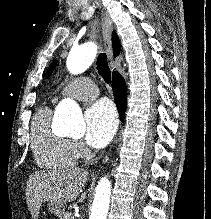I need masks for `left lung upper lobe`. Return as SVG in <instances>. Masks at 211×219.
<instances>
[{
    "label": "left lung upper lobe",
    "instance_id": "obj_1",
    "mask_svg": "<svg viewBox=\"0 0 211 219\" xmlns=\"http://www.w3.org/2000/svg\"><path fill=\"white\" fill-rule=\"evenodd\" d=\"M55 66H56V61H54V62L49 66V68H48V70H47V73H46V77H48V76L52 73V71L54 70Z\"/></svg>",
    "mask_w": 211,
    "mask_h": 219
}]
</instances>
